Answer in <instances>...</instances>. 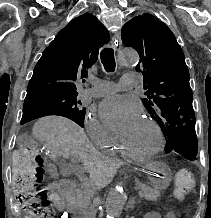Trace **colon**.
Instances as JSON below:
<instances>
[{"label": "colon", "mask_w": 211, "mask_h": 218, "mask_svg": "<svg viewBox=\"0 0 211 218\" xmlns=\"http://www.w3.org/2000/svg\"><path fill=\"white\" fill-rule=\"evenodd\" d=\"M12 174L18 201L27 213V218H54V209L45 189H38L44 181L43 160L33 146L18 149L13 156ZM195 187L194 174L181 169L175 175V193L180 199ZM182 218V217H178Z\"/></svg>", "instance_id": "5ec220e1"}]
</instances>
